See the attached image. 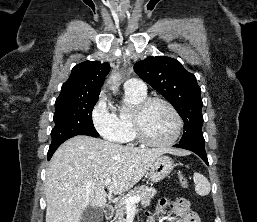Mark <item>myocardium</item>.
<instances>
[{
    "instance_id": "1",
    "label": "myocardium",
    "mask_w": 257,
    "mask_h": 222,
    "mask_svg": "<svg viewBox=\"0 0 257 222\" xmlns=\"http://www.w3.org/2000/svg\"><path fill=\"white\" fill-rule=\"evenodd\" d=\"M156 103L165 105L172 113L175 119V132L173 136L166 141H153L145 133L143 128V119L148 109ZM132 122L137 139L144 145L150 147H167L173 145L180 137L183 129V121L180 113L175 106L167 99L161 97H146L141 101L133 111Z\"/></svg>"
}]
</instances>
